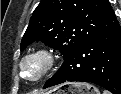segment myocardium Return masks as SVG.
Instances as JSON below:
<instances>
[{"label": "myocardium", "mask_w": 121, "mask_h": 94, "mask_svg": "<svg viewBox=\"0 0 121 94\" xmlns=\"http://www.w3.org/2000/svg\"><path fill=\"white\" fill-rule=\"evenodd\" d=\"M32 61H39L41 64L40 72L35 77H29L26 73V65ZM56 58L53 52L47 48H38L27 53L19 62V69L25 75V79L29 82H40L46 78L53 70Z\"/></svg>", "instance_id": "myocardium-1"}]
</instances>
